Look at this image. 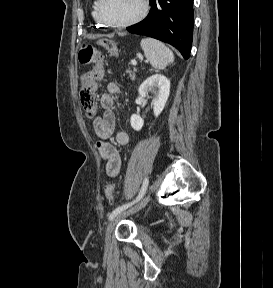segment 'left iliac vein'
Wrapping results in <instances>:
<instances>
[{
	"instance_id": "left-iliac-vein-1",
	"label": "left iliac vein",
	"mask_w": 273,
	"mask_h": 288,
	"mask_svg": "<svg viewBox=\"0 0 273 288\" xmlns=\"http://www.w3.org/2000/svg\"><path fill=\"white\" fill-rule=\"evenodd\" d=\"M149 200H150V196L148 195L139 204H137L133 208L122 211L119 214H117L113 219H111V221L107 225L106 232H105V243L107 246H110V244H111V236H112V233H113V230H114L116 224L119 221H121L122 219H124V218L136 213L137 211L141 210L143 207H145L147 205Z\"/></svg>"
}]
</instances>
